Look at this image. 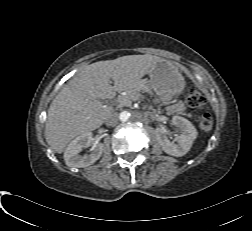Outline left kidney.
Returning <instances> with one entry per match:
<instances>
[{
  "label": "left kidney",
  "mask_w": 252,
  "mask_h": 231,
  "mask_svg": "<svg viewBox=\"0 0 252 231\" xmlns=\"http://www.w3.org/2000/svg\"><path fill=\"white\" fill-rule=\"evenodd\" d=\"M172 124L176 126L181 133L177 144L171 142L161 128L155 130L156 139L167 154L180 157L190 150L198 133L193 124L181 116H173Z\"/></svg>",
  "instance_id": "5707ae66"
}]
</instances>
